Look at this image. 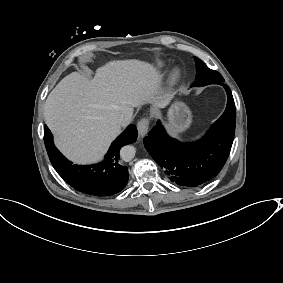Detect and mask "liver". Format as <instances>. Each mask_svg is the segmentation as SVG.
Returning <instances> with one entry per match:
<instances>
[{"instance_id":"6515ba94","label":"liver","mask_w":283,"mask_h":283,"mask_svg":"<svg viewBox=\"0 0 283 283\" xmlns=\"http://www.w3.org/2000/svg\"><path fill=\"white\" fill-rule=\"evenodd\" d=\"M157 79L153 67L137 61L109 63L93 81L72 72L48 95L45 123L68 157L80 163L98 159L120 133L119 118L130 121L132 108L156 90Z\"/></svg>"}]
</instances>
